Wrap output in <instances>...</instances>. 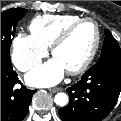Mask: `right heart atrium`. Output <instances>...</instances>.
I'll return each mask as SVG.
<instances>
[{"mask_svg":"<svg viewBox=\"0 0 121 121\" xmlns=\"http://www.w3.org/2000/svg\"><path fill=\"white\" fill-rule=\"evenodd\" d=\"M48 54V48L33 35L17 34L11 43V59L21 72H29L37 67Z\"/></svg>","mask_w":121,"mask_h":121,"instance_id":"1","label":"right heart atrium"}]
</instances>
